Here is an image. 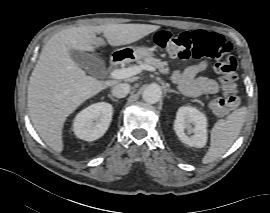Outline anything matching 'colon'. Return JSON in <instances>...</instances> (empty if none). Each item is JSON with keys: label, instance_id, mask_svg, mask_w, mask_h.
Returning <instances> with one entry per match:
<instances>
[{"label": "colon", "instance_id": "5ec220e1", "mask_svg": "<svg viewBox=\"0 0 270 213\" xmlns=\"http://www.w3.org/2000/svg\"><path fill=\"white\" fill-rule=\"evenodd\" d=\"M155 45L166 50L170 55L181 59L217 60L214 69L222 77L223 96L211 102L215 115H223L239 104V86L236 83V60L232 55V45L216 32L197 30L173 34L159 31L154 37Z\"/></svg>", "mask_w": 270, "mask_h": 213}]
</instances>
